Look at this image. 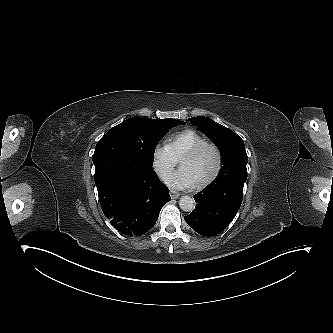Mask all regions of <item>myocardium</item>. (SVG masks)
Here are the masks:
<instances>
[{
	"label": "myocardium",
	"mask_w": 333,
	"mask_h": 333,
	"mask_svg": "<svg viewBox=\"0 0 333 333\" xmlns=\"http://www.w3.org/2000/svg\"><path fill=\"white\" fill-rule=\"evenodd\" d=\"M204 148H211L213 152L215 153V166L211 172V174L206 177L205 179L198 181L195 183V186L197 188H202L210 184L215 180V178L218 176L221 166H222V157L221 152L218 146L210 141H204L194 148H192L190 151H188L183 158L180 160V166L183 168L184 164L188 161L194 159Z\"/></svg>",
	"instance_id": "obj_1"
}]
</instances>
